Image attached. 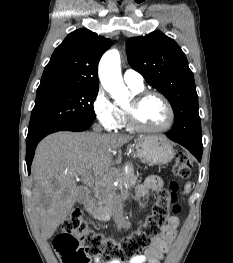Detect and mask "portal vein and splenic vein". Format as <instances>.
<instances>
[{"label": "portal vein and splenic vein", "mask_w": 233, "mask_h": 263, "mask_svg": "<svg viewBox=\"0 0 233 263\" xmlns=\"http://www.w3.org/2000/svg\"><path fill=\"white\" fill-rule=\"evenodd\" d=\"M81 180L83 183H85L87 185H92L93 184V177L91 175V172H84L81 175Z\"/></svg>", "instance_id": "portal-vein-and-splenic-vein-1"}]
</instances>
